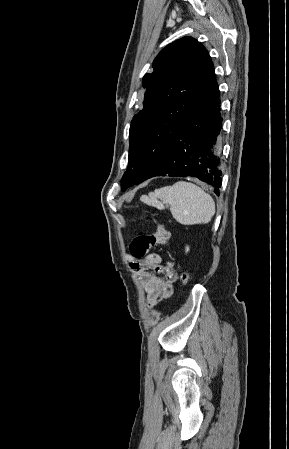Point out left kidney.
<instances>
[{
  "label": "left kidney",
  "mask_w": 289,
  "mask_h": 449,
  "mask_svg": "<svg viewBox=\"0 0 289 449\" xmlns=\"http://www.w3.org/2000/svg\"><path fill=\"white\" fill-rule=\"evenodd\" d=\"M189 251V247H186V252H188Z\"/></svg>",
  "instance_id": "left-kidney-1"
}]
</instances>
